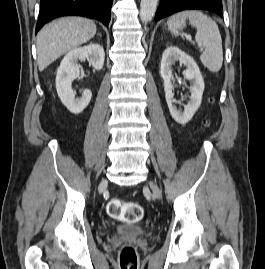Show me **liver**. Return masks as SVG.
<instances>
[{
    "label": "liver",
    "instance_id": "obj_1",
    "mask_svg": "<svg viewBox=\"0 0 265 269\" xmlns=\"http://www.w3.org/2000/svg\"><path fill=\"white\" fill-rule=\"evenodd\" d=\"M97 28L93 21L82 17H65L45 25L37 35V61L43 71L68 51L92 39Z\"/></svg>",
    "mask_w": 265,
    "mask_h": 269
}]
</instances>
